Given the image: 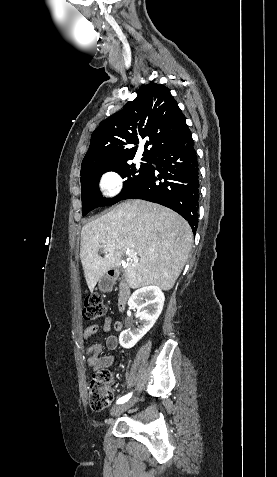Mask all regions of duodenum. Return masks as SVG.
Returning <instances> with one entry per match:
<instances>
[{"mask_svg":"<svg viewBox=\"0 0 277 477\" xmlns=\"http://www.w3.org/2000/svg\"><path fill=\"white\" fill-rule=\"evenodd\" d=\"M120 276L119 269H111L107 273V279L109 285H111L116 279ZM131 296V290L128 283L122 279L119 288H118V300H117V307L120 312H123L127 306L129 298Z\"/></svg>","mask_w":277,"mask_h":477,"instance_id":"duodenum-1","label":"duodenum"}]
</instances>
